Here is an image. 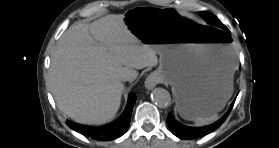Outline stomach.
I'll return each mask as SVG.
<instances>
[{
  "label": "stomach",
  "mask_w": 279,
  "mask_h": 148,
  "mask_svg": "<svg viewBox=\"0 0 279 148\" xmlns=\"http://www.w3.org/2000/svg\"><path fill=\"white\" fill-rule=\"evenodd\" d=\"M126 28L160 55L157 73L172 86L184 119L220 111L232 94L235 60L226 30L200 24L180 11L160 5L127 10Z\"/></svg>",
  "instance_id": "1"
}]
</instances>
